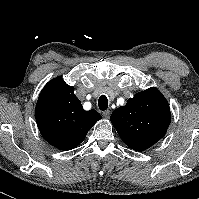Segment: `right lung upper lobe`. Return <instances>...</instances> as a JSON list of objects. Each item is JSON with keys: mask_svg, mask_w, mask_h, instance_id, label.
<instances>
[{"mask_svg": "<svg viewBox=\"0 0 199 199\" xmlns=\"http://www.w3.org/2000/svg\"><path fill=\"white\" fill-rule=\"evenodd\" d=\"M37 126L43 138L61 150L77 147L101 115L85 111L74 88L58 76L49 81L38 98L35 110Z\"/></svg>", "mask_w": 199, "mask_h": 199, "instance_id": "right-lung-upper-lobe-1", "label": "right lung upper lobe"}]
</instances>
